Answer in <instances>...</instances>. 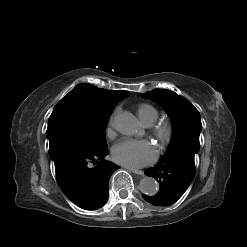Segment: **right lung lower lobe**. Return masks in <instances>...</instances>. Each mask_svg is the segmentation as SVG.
<instances>
[{"mask_svg":"<svg viewBox=\"0 0 247 247\" xmlns=\"http://www.w3.org/2000/svg\"><path fill=\"white\" fill-rule=\"evenodd\" d=\"M108 148L88 150L64 141H50L58 185L63 193L85 210H96L108 199L111 174L120 167L105 160Z\"/></svg>","mask_w":247,"mask_h":247,"instance_id":"1","label":"right lung lower lobe"}]
</instances>
